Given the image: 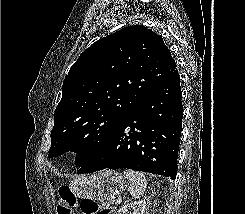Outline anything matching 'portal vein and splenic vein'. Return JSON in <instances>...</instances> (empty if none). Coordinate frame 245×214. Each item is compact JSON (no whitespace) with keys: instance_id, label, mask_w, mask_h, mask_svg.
I'll list each match as a JSON object with an SVG mask.
<instances>
[{"instance_id":"18ae733b","label":"portal vein and splenic vein","mask_w":245,"mask_h":214,"mask_svg":"<svg viewBox=\"0 0 245 214\" xmlns=\"http://www.w3.org/2000/svg\"><path fill=\"white\" fill-rule=\"evenodd\" d=\"M117 204H121L122 203V199L121 198H118L117 201H116Z\"/></svg>"}]
</instances>
